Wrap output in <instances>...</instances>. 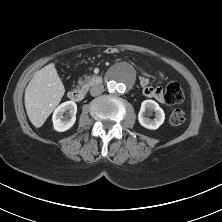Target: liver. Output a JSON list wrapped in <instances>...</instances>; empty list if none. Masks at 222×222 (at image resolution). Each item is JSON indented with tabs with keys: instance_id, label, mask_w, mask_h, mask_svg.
Returning a JSON list of instances; mask_svg holds the SVG:
<instances>
[{
	"instance_id": "liver-1",
	"label": "liver",
	"mask_w": 222,
	"mask_h": 222,
	"mask_svg": "<svg viewBox=\"0 0 222 222\" xmlns=\"http://www.w3.org/2000/svg\"><path fill=\"white\" fill-rule=\"evenodd\" d=\"M65 93L54 63L37 71L25 90V108L30 122L41 127Z\"/></svg>"
}]
</instances>
